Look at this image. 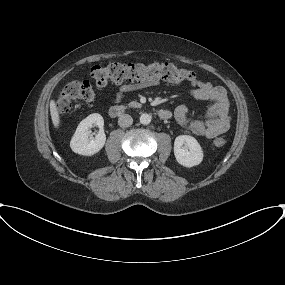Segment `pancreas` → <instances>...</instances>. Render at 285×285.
<instances>
[{
    "mask_svg": "<svg viewBox=\"0 0 285 285\" xmlns=\"http://www.w3.org/2000/svg\"><path fill=\"white\" fill-rule=\"evenodd\" d=\"M129 107H135V108H139L141 107V104L136 102V101H132L128 104Z\"/></svg>",
    "mask_w": 285,
    "mask_h": 285,
    "instance_id": "1",
    "label": "pancreas"
}]
</instances>
